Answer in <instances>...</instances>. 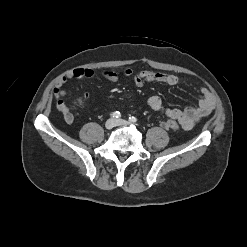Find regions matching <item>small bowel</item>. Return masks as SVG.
I'll return each instance as SVG.
<instances>
[{
  "label": "small bowel",
  "mask_w": 247,
  "mask_h": 247,
  "mask_svg": "<svg viewBox=\"0 0 247 247\" xmlns=\"http://www.w3.org/2000/svg\"><path fill=\"white\" fill-rule=\"evenodd\" d=\"M123 74L125 77L131 78L137 87H142L144 84L152 82L166 85H177L181 82V79L174 74L157 71L146 70L134 73L132 69L127 68L123 71ZM93 76L94 71L92 69L77 68L69 72L56 83L54 96L57 109L60 111L67 124L73 123L74 115L70 106L64 101L66 96L65 83L72 79L91 78ZM103 76L111 82H117L119 80V75L114 71H104ZM200 93L202 97L198 103L194 106H188L183 110L164 108L162 101L158 96H151L147 103L153 112L164 114L167 117L178 121L184 129L189 130L192 129L200 119L209 115L214 109V99L210 91L205 87H201Z\"/></svg>",
  "instance_id": "obj_1"
}]
</instances>
